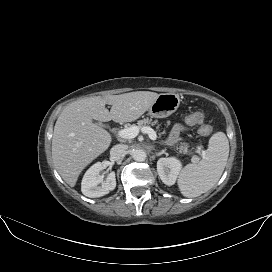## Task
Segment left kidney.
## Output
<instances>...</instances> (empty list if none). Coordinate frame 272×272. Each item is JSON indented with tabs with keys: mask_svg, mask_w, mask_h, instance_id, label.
Listing matches in <instances>:
<instances>
[{
	"mask_svg": "<svg viewBox=\"0 0 272 272\" xmlns=\"http://www.w3.org/2000/svg\"><path fill=\"white\" fill-rule=\"evenodd\" d=\"M182 163L175 157L160 158L157 161V172L162 182L168 186L174 185L180 174Z\"/></svg>",
	"mask_w": 272,
	"mask_h": 272,
	"instance_id": "obj_1",
	"label": "left kidney"
}]
</instances>
